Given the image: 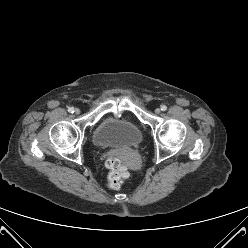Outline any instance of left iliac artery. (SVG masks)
I'll return each instance as SVG.
<instances>
[{"label": "left iliac artery", "instance_id": "1", "mask_svg": "<svg viewBox=\"0 0 248 248\" xmlns=\"http://www.w3.org/2000/svg\"><path fill=\"white\" fill-rule=\"evenodd\" d=\"M161 110H162V111H166V110H167V106H166V105H162V106H161Z\"/></svg>", "mask_w": 248, "mask_h": 248}]
</instances>
